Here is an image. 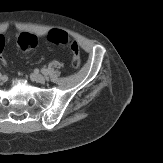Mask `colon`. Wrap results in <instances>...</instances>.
<instances>
[{
    "label": "colon",
    "mask_w": 163,
    "mask_h": 163,
    "mask_svg": "<svg viewBox=\"0 0 163 163\" xmlns=\"http://www.w3.org/2000/svg\"><path fill=\"white\" fill-rule=\"evenodd\" d=\"M47 39L49 42L60 45L67 46L72 55V66L78 68L81 63L80 50L78 44L69 38L68 34L60 29H53L48 32ZM18 48L22 52H27L34 49L38 44V39L35 35L30 33H22L19 35L17 40ZM5 47V40L0 36V60L3 59V51Z\"/></svg>",
    "instance_id": "obj_1"
}]
</instances>
